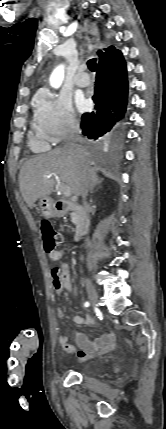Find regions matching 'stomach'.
<instances>
[{
    "mask_svg": "<svg viewBox=\"0 0 166 429\" xmlns=\"http://www.w3.org/2000/svg\"><path fill=\"white\" fill-rule=\"evenodd\" d=\"M38 205L43 216L45 217L55 216L56 213L54 209L53 200L51 198L49 197L40 198Z\"/></svg>",
    "mask_w": 166,
    "mask_h": 429,
    "instance_id": "1",
    "label": "stomach"
}]
</instances>
